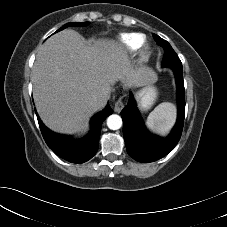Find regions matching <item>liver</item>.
<instances>
[{"label":"liver","instance_id":"1","mask_svg":"<svg viewBox=\"0 0 227 227\" xmlns=\"http://www.w3.org/2000/svg\"><path fill=\"white\" fill-rule=\"evenodd\" d=\"M155 78L145 66H135L113 40L87 45L74 30L51 36L40 48L32 71L33 98L43 123L53 131H86L89 118L104 107L112 86H140ZM105 100L96 104L93 95Z\"/></svg>","mask_w":227,"mask_h":227}]
</instances>
